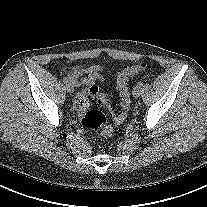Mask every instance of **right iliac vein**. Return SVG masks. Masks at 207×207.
<instances>
[{"label":"right iliac vein","instance_id":"obj_1","mask_svg":"<svg viewBox=\"0 0 207 207\" xmlns=\"http://www.w3.org/2000/svg\"><path fill=\"white\" fill-rule=\"evenodd\" d=\"M66 89L69 93H73L74 92V87L71 83H67L66 84Z\"/></svg>","mask_w":207,"mask_h":207}]
</instances>
